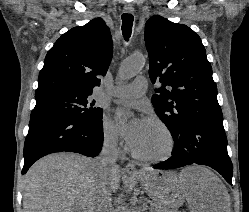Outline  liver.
<instances>
[{
	"label": "liver",
	"mask_w": 249,
	"mask_h": 212,
	"mask_svg": "<svg viewBox=\"0 0 249 212\" xmlns=\"http://www.w3.org/2000/svg\"><path fill=\"white\" fill-rule=\"evenodd\" d=\"M98 170L94 160L80 154L44 156L23 178L24 212H101ZM111 178L110 194L119 188V166ZM134 178L158 206L180 208L186 200L190 212H231L228 190L205 166H187L180 174L144 168Z\"/></svg>",
	"instance_id": "obj_1"
}]
</instances>
